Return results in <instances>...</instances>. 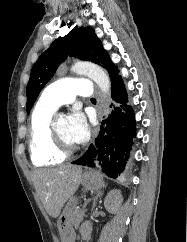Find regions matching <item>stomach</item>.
I'll return each instance as SVG.
<instances>
[{
  "instance_id": "obj_1",
  "label": "stomach",
  "mask_w": 187,
  "mask_h": 242,
  "mask_svg": "<svg viewBox=\"0 0 187 242\" xmlns=\"http://www.w3.org/2000/svg\"><path fill=\"white\" fill-rule=\"evenodd\" d=\"M81 183L86 190H99L104 186L102 176L95 170L85 171L82 174ZM76 205L77 199L75 197H71L57 220V227L61 242H74Z\"/></svg>"
}]
</instances>
